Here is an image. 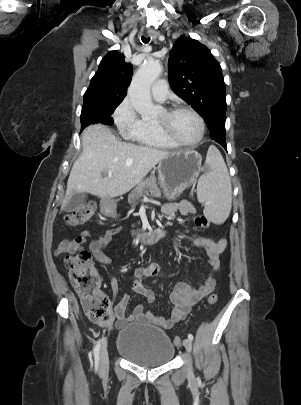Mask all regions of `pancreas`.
Returning <instances> with one entry per match:
<instances>
[{
	"instance_id": "1",
	"label": "pancreas",
	"mask_w": 301,
	"mask_h": 405,
	"mask_svg": "<svg viewBox=\"0 0 301 405\" xmlns=\"http://www.w3.org/2000/svg\"><path fill=\"white\" fill-rule=\"evenodd\" d=\"M148 194H151L154 197L161 196V190L159 189L157 180L154 177L147 178L146 180L140 182L129 194L128 202L132 206H135L141 196ZM138 231H141V229L137 230L136 232L133 231L132 234H137Z\"/></svg>"
}]
</instances>
